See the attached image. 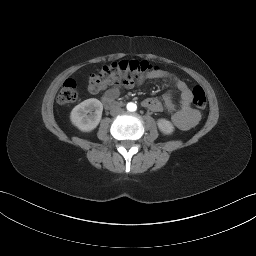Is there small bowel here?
Here are the masks:
<instances>
[{
  "mask_svg": "<svg viewBox=\"0 0 256 256\" xmlns=\"http://www.w3.org/2000/svg\"><path fill=\"white\" fill-rule=\"evenodd\" d=\"M145 78L166 79L170 81L173 88L180 93V107L178 109H176L173 102V90H169L163 96L164 106L171 113V120L177 128L189 130L199 122L201 117L200 113L191 107L192 93L190 88L183 80L169 72L158 71L147 77L114 81L105 91L104 96L116 99L123 90H129L142 84ZM142 105L154 112H160L162 110V103L157 98H146L143 100Z\"/></svg>",
  "mask_w": 256,
  "mask_h": 256,
  "instance_id": "1",
  "label": "small bowel"
}]
</instances>
